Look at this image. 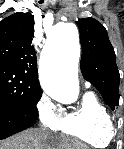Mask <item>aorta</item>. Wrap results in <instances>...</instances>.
I'll return each instance as SVG.
<instances>
[{"instance_id":"762f6f07","label":"aorta","mask_w":124,"mask_h":149,"mask_svg":"<svg viewBox=\"0 0 124 149\" xmlns=\"http://www.w3.org/2000/svg\"><path fill=\"white\" fill-rule=\"evenodd\" d=\"M79 57L76 25L70 22L57 24L40 60V84L47 95L63 103L77 100Z\"/></svg>"}]
</instances>
